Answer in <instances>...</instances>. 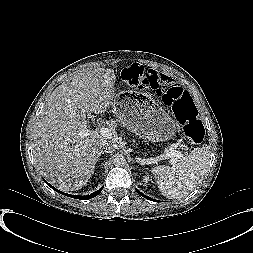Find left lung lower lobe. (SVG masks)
<instances>
[{"label":"left lung lower lobe","mask_w":253,"mask_h":253,"mask_svg":"<svg viewBox=\"0 0 253 253\" xmlns=\"http://www.w3.org/2000/svg\"><path fill=\"white\" fill-rule=\"evenodd\" d=\"M137 192H138L141 196H143V197H145V198H147V199H149V200H151V201H156V200L151 199V198H149V197L145 196L144 194L140 193L138 190H137Z\"/></svg>","instance_id":"0a47b994"}]
</instances>
